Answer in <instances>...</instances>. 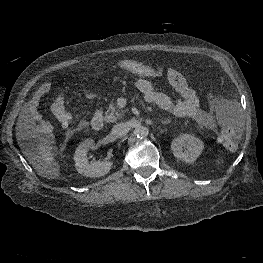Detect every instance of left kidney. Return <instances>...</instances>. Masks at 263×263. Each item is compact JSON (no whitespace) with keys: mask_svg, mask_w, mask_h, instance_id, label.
Here are the masks:
<instances>
[{"mask_svg":"<svg viewBox=\"0 0 263 263\" xmlns=\"http://www.w3.org/2000/svg\"><path fill=\"white\" fill-rule=\"evenodd\" d=\"M204 148L203 142L190 134H182L173 139L171 149L174 156L186 163L194 162Z\"/></svg>","mask_w":263,"mask_h":263,"instance_id":"left-kidney-1","label":"left kidney"}]
</instances>
